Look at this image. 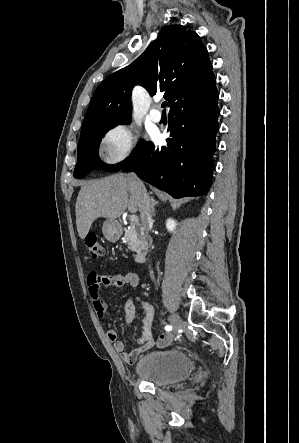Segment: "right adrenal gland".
<instances>
[{
    "label": "right adrenal gland",
    "instance_id": "obj_1",
    "mask_svg": "<svg viewBox=\"0 0 299 443\" xmlns=\"http://www.w3.org/2000/svg\"><path fill=\"white\" fill-rule=\"evenodd\" d=\"M158 203L152 196H151V208H152V215L155 216V206Z\"/></svg>",
    "mask_w": 299,
    "mask_h": 443
}]
</instances>
